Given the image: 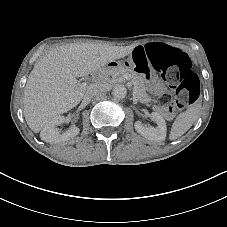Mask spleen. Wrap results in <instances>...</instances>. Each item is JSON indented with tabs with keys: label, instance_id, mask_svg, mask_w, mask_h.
I'll return each mask as SVG.
<instances>
[{
	"label": "spleen",
	"instance_id": "obj_1",
	"mask_svg": "<svg viewBox=\"0 0 227 227\" xmlns=\"http://www.w3.org/2000/svg\"><path fill=\"white\" fill-rule=\"evenodd\" d=\"M201 105L192 106L187 109L185 112L180 113L174 123L172 124V128L170 131L169 139L176 140L178 137L182 136L186 133L192 124L197 120L198 114L200 112Z\"/></svg>",
	"mask_w": 227,
	"mask_h": 227
}]
</instances>
